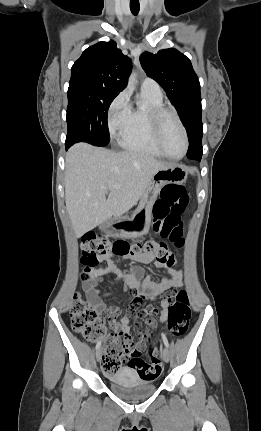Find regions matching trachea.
Here are the masks:
<instances>
[{"label": "trachea", "instance_id": "1", "mask_svg": "<svg viewBox=\"0 0 261 431\" xmlns=\"http://www.w3.org/2000/svg\"><path fill=\"white\" fill-rule=\"evenodd\" d=\"M130 10H131L133 15H137L139 13V10H140L139 3H136V4L130 3Z\"/></svg>", "mask_w": 261, "mask_h": 431}]
</instances>
